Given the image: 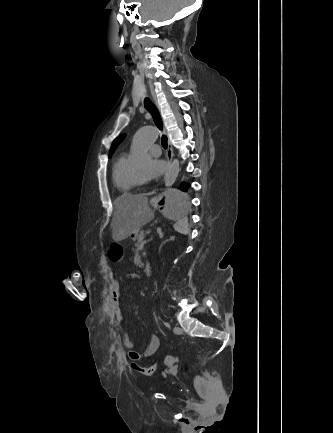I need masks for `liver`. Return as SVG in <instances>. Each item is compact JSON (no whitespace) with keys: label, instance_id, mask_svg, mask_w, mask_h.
<instances>
[{"label":"liver","instance_id":"liver-1","mask_svg":"<svg viewBox=\"0 0 333 433\" xmlns=\"http://www.w3.org/2000/svg\"><path fill=\"white\" fill-rule=\"evenodd\" d=\"M112 239L119 242L139 230L154 218V211L148 205L144 194L124 193L114 201Z\"/></svg>","mask_w":333,"mask_h":433}]
</instances>
